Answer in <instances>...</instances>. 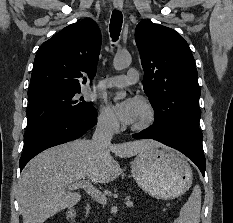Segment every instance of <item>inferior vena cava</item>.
<instances>
[{
	"instance_id": "602c4592",
	"label": "inferior vena cava",
	"mask_w": 233,
	"mask_h": 223,
	"mask_svg": "<svg viewBox=\"0 0 233 223\" xmlns=\"http://www.w3.org/2000/svg\"><path fill=\"white\" fill-rule=\"evenodd\" d=\"M118 125L117 119H113V117H107V115L105 117H98L97 127L91 139L95 151H102L104 145H110L111 139L116 129H118Z\"/></svg>"
}]
</instances>
